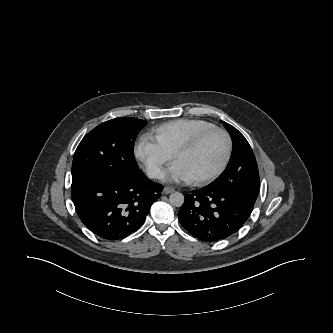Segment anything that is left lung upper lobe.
Instances as JSON below:
<instances>
[{
  "mask_svg": "<svg viewBox=\"0 0 333 333\" xmlns=\"http://www.w3.org/2000/svg\"><path fill=\"white\" fill-rule=\"evenodd\" d=\"M233 141V152L225 171L210 185L228 189L255 203L259 192V172L253 151L245 137L223 122Z\"/></svg>",
  "mask_w": 333,
  "mask_h": 333,
  "instance_id": "left-lung-upper-lobe-1",
  "label": "left lung upper lobe"
}]
</instances>
